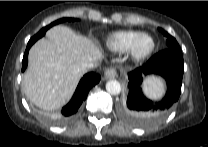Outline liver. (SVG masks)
<instances>
[{
  "mask_svg": "<svg viewBox=\"0 0 208 147\" xmlns=\"http://www.w3.org/2000/svg\"><path fill=\"white\" fill-rule=\"evenodd\" d=\"M102 58V51L89 38L57 25L29 51L24 91L39 108L52 111L65 105L85 74V64Z\"/></svg>",
  "mask_w": 208,
  "mask_h": 147,
  "instance_id": "liver-1",
  "label": "liver"
}]
</instances>
